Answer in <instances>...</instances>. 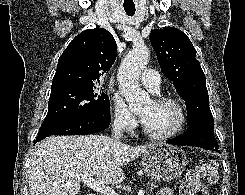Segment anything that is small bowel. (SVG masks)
<instances>
[{
  "label": "small bowel",
  "mask_w": 245,
  "mask_h": 195,
  "mask_svg": "<svg viewBox=\"0 0 245 195\" xmlns=\"http://www.w3.org/2000/svg\"><path fill=\"white\" fill-rule=\"evenodd\" d=\"M157 195H173V190L168 187H163L159 190Z\"/></svg>",
  "instance_id": "small-bowel-1"
}]
</instances>
